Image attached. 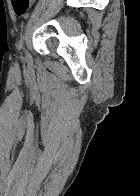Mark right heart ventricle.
Instances as JSON below:
<instances>
[{
	"label": "right heart ventricle",
	"instance_id": "e07e8e85",
	"mask_svg": "<svg viewBox=\"0 0 140 196\" xmlns=\"http://www.w3.org/2000/svg\"><path fill=\"white\" fill-rule=\"evenodd\" d=\"M26 192H36V191H26ZM56 192V191H55Z\"/></svg>",
	"mask_w": 140,
	"mask_h": 196
}]
</instances>
